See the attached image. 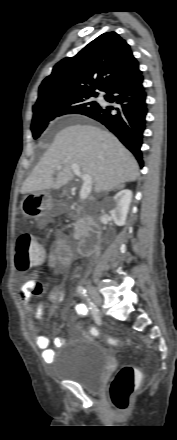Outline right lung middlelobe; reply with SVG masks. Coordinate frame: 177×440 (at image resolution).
I'll return each instance as SVG.
<instances>
[{"instance_id":"obj_1","label":"right lung middle lobe","mask_w":177,"mask_h":440,"mask_svg":"<svg viewBox=\"0 0 177 440\" xmlns=\"http://www.w3.org/2000/svg\"><path fill=\"white\" fill-rule=\"evenodd\" d=\"M98 94H82L74 96H63L46 105L33 108V119L31 130L33 137H40L49 122L58 116L65 114H85L99 106L95 101H91L92 96Z\"/></svg>"}]
</instances>
